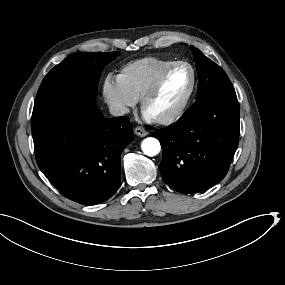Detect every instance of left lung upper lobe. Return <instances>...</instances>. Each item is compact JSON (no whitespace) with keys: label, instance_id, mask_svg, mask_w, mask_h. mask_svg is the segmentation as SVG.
Masks as SVG:
<instances>
[{"label":"left lung upper lobe","instance_id":"5c2ea615","mask_svg":"<svg viewBox=\"0 0 285 285\" xmlns=\"http://www.w3.org/2000/svg\"><path fill=\"white\" fill-rule=\"evenodd\" d=\"M191 48L199 77L196 102L215 95H234V88L222 68L195 47Z\"/></svg>","mask_w":285,"mask_h":285}]
</instances>
